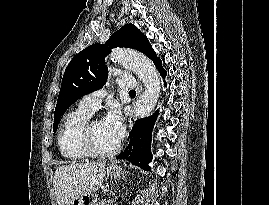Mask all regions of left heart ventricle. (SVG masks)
<instances>
[{
	"label": "left heart ventricle",
	"mask_w": 269,
	"mask_h": 205,
	"mask_svg": "<svg viewBox=\"0 0 269 205\" xmlns=\"http://www.w3.org/2000/svg\"><path fill=\"white\" fill-rule=\"evenodd\" d=\"M92 138L95 147L100 151H108L115 147L114 140L105 130L102 121H97L92 127Z\"/></svg>",
	"instance_id": "1"
}]
</instances>
